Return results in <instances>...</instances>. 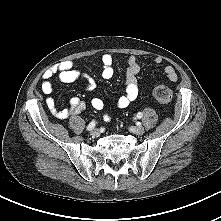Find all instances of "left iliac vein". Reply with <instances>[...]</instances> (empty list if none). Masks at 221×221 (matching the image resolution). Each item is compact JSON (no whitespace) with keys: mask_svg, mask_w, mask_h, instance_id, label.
Instances as JSON below:
<instances>
[{"mask_svg":"<svg viewBox=\"0 0 221 221\" xmlns=\"http://www.w3.org/2000/svg\"><path fill=\"white\" fill-rule=\"evenodd\" d=\"M130 131L136 135H142L144 133V128L142 126H133Z\"/></svg>","mask_w":221,"mask_h":221,"instance_id":"obj_1","label":"left iliac vein"}]
</instances>
